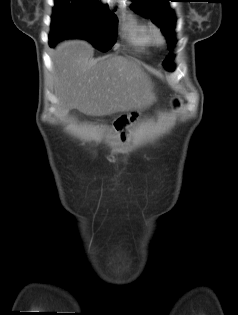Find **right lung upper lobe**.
Segmentation results:
<instances>
[{"label":"right lung upper lobe","mask_w":238,"mask_h":315,"mask_svg":"<svg viewBox=\"0 0 238 315\" xmlns=\"http://www.w3.org/2000/svg\"><path fill=\"white\" fill-rule=\"evenodd\" d=\"M83 1H88V2H93L95 4H98L96 0H83ZM99 5V4H98Z\"/></svg>","instance_id":"1"}]
</instances>
